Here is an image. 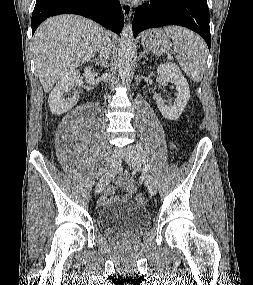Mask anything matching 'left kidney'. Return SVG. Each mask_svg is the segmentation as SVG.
Listing matches in <instances>:
<instances>
[{"mask_svg":"<svg viewBox=\"0 0 253 285\" xmlns=\"http://www.w3.org/2000/svg\"><path fill=\"white\" fill-rule=\"evenodd\" d=\"M158 74L162 77L164 83L171 82L176 86L178 92L173 104L167 105L161 95L156 96V104L161 114L168 120H177L190 98L189 85L182 75L179 67L175 64H161L157 69Z\"/></svg>","mask_w":253,"mask_h":285,"instance_id":"5707ae66","label":"left kidney"}]
</instances>
